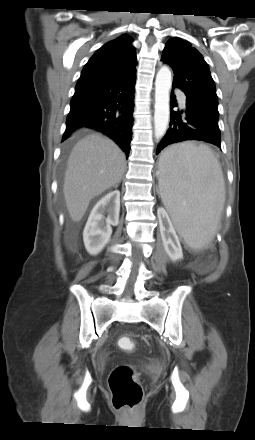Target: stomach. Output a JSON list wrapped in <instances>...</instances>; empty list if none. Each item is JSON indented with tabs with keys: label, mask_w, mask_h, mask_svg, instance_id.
I'll use <instances>...</instances> for the list:
<instances>
[{
	"label": "stomach",
	"mask_w": 255,
	"mask_h": 440,
	"mask_svg": "<svg viewBox=\"0 0 255 440\" xmlns=\"http://www.w3.org/2000/svg\"><path fill=\"white\" fill-rule=\"evenodd\" d=\"M162 161H163V158H162V156H161V158H160V162H159V165H160V166L163 165V162H162Z\"/></svg>",
	"instance_id": "0dacf381"
}]
</instances>
